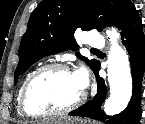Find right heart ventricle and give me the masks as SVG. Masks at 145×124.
Returning <instances> with one entry per match:
<instances>
[{
	"instance_id": "obj_1",
	"label": "right heart ventricle",
	"mask_w": 145,
	"mask_h": 124,
	"mask_svg": "<svg viewBox=\"0 0 145 124\" xmlns=\"http://www.w3.org/2000/svg\"><path fill=\"white\" fill-rule=\"evenodd\" d=\"M33 73V71L29 72L25 78L23 79V81L21 82L19 88H18V91H17V94H16V103H17V108H18V112L23 115L22 111H21V108H20V96H21V91L23 89V86L25 84V82L27 81V79L29 78V76Z\"/></svg>"
}]
</instances>
